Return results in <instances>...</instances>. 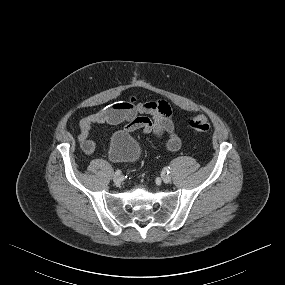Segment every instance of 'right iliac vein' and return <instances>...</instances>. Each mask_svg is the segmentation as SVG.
<instances>
[{
  "label": "right iliac vein",
  "instance_id": "63e3f726",
  "mask_svg": "<svg viewBox=\"0 0 285 285\" xmlns=\"http://www.w3.org/2000/svg\"><path fill=\"white\" fill-rule=\"evenodd\" d=\"M113 181H114V183H115L116 185H119V184L121 183V181H122V178H121V176H119V175H114Z\"/></svg>",
  "mask_w": 285,
  "mask_h": 285
}]
</instances>
